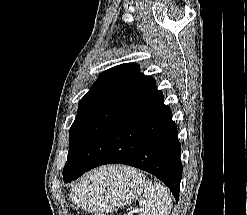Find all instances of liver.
I'll use <instances>...</instances> for the list:
<instances>
[{"instance_id":"1","label":"liver","mask_w":247,"mask_h":215,"mask_svg":"<svg viewBox=\"0 0 247 215\" xmlns=\"http://www.w3.org/2000/svg\"><path fill=\"white\" fill-rule=\"evenodd\" d=\"M127 168L126 167H123V171H126ZM111 178L114 176V174H110Z\"/></svg>"}]
</instances>
